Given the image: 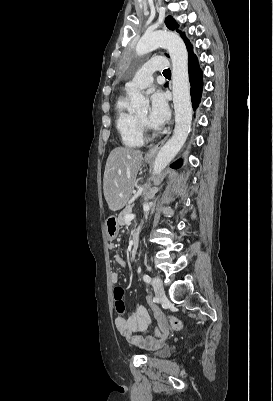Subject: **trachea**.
Here are the masks:
<instances>
[{
	"instance_id": "trachea-1",
	"label": "trachea",
	"mask_w": 273,
	"mask_h": 401,
	"mask_svg": "<svg viewBox=\"0 0 273 401\" xmlns=\"http://www.w3.org/2000/svg\"><path fill=\"white\" fill-rule=\"evenodd\" d=\"M163 73L165 74V73H171V70L169 69V68H166L164 71H163Z\"/></svg>"
}]
</instances>
